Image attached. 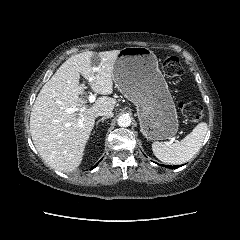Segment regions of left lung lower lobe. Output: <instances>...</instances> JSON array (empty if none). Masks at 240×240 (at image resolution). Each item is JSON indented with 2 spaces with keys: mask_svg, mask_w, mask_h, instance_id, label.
Listing matches in <instances>:
<instances>
[{
  "mask_svg": "<svg viewBox=\"0 0 240 240\" xmlns=\"http://www.w3.org/2000/svg\"><path fill=\"white\" fill-rule=\"evenodd\" d=\"M164 166L171 169H176L177 167H180V166H167V165H164Z\"/></svg>",
  "mask_w": 240,
  "mask_h": 240,
  "instance_id": "left-lung-lower-lobe-1",
  "label": "left lung lower lobe"
}]
</instances>
